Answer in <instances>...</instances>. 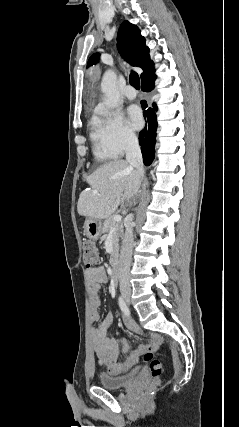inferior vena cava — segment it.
Returning a JSON list of instances; mask_svg holds the SVG:
<instances>
[{"label":"inferior vena cava","instance_id":"602c4592","mask_svg":"<svg viewBox=\"0 0 239 427\" xmlns=\"http://www.w3.org/2000/svg\"><path fill=\"white\" fill-rule=\"evenodd\" d=\"M126 160L131 168H135L137 173L144 176L143 159L135 135H130L126 139L125 145ZM134 246L133 227L131 223L126 226V231L123 236L122 247L119 258V285L120 290H130V267L132 261V251Z\"/></svg>","mask_w":239,"mask_h":427}]
</instances>
